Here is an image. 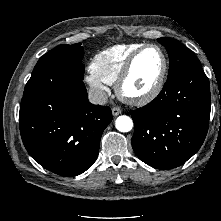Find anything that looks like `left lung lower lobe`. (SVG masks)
<instances>
[{
  "instance_id": "obj_1",
  "label": "left lung lower lobe",
  "mask_w": 221,
  "mask_h": 221,
  "mask_svg": "<svg viewBox=\"0 0 221 221\" xmlns=\"http://www.w3.org/2000/svg\"><path fill=\"white\" fill-rule=\"evenodd\" d=\"M210 108L209 80L202 68L186 70L167 81L153 101L130 111L135 154L157 169L184 164L204 142Z\"/></svg>"
}]
</instances>
